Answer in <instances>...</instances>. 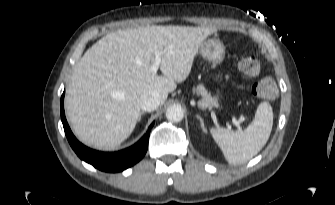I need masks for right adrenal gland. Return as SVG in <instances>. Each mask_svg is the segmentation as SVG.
<instances>
[{"instance_id": "2a0ac1e0", "label": "right adrenal gland", "mask_w": 335, "mask_h": 205, "mask_svg": "<svg viewBox=\"0 0 335 205\" xmlns=\"http://www.w3.org/2000/svg\"><path fill=\"white\" fill-rule=\"evenodd\" d=\"M143 114H145L144 111L140 112L139 120L141 119V116H142Z\"/></svg>"}]
</instances>
